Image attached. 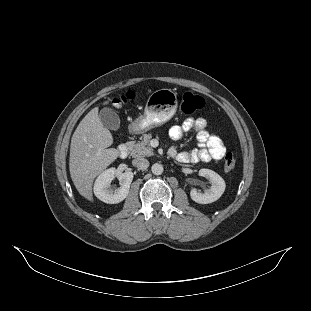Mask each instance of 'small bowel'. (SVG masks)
Returning a JSON list of instances; mask_svg holds the SVG:
<instances>
[{
	"instance_id": "small-bowel-1",
	"label": "small bowel",
	"mask_w": 311,
	"mask_h": 311,
	"mask_svg": "<svg viewBox=\"0 0 311 311\" xmlns=\"http://www.w3.org/2000/svg\"><path fill=\"white\" fill-rule=\"evenodd\" d=\"M189 131L196 133L199 147L182 152L172 147L169 151L172 158L180 163L188 164L221 160L224 157L226 149L221 138L208 132L207 122L203 118H187L180 125L172 126L169 135L172 140L177 141Z\"/></svg>"
}]
</instances>
